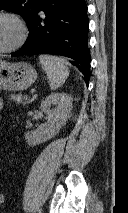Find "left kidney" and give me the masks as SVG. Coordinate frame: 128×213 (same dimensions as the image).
<instances>
[{"label": "left kidney", "mask_w": 128, "mask_h": 213, "mask_svg": "<svg viewBox=\"0 0 128 213\" xmlns=\"http://www.w3.org/2000/svg\"><path fill=\"white\" fill-rule=\"evenodd\" d=\"M72 97L67 93H55L46 97L40 109L46 114L47 122L41 124L36 130L25 134L27 143L36 146L52 139L66 123L72 109ZM51 106H55L51 108Z\"/></svg>", "instance_id": "5707ae66"}]
</instances>
